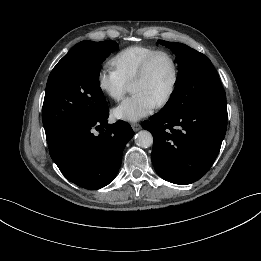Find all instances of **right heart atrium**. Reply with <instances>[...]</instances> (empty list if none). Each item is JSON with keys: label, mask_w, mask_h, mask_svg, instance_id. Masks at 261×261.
<instances>
[{"label": "right heart atrium", "mask_w": 261, "mask_h": 261, "mask_svg": "<svg viewBox=\"0 0 261 261\" xmlns=\"http://www.w3.org/2000/svg\"><path fill=\"white\" fill-rule=\"evenodd\" d=\"M97 84L100 91L114 101H120L128 88V84L109 68H103L98 72Z\"/></svg>", "instance_id": "right-heart-atrium-1"}]
</instances>
